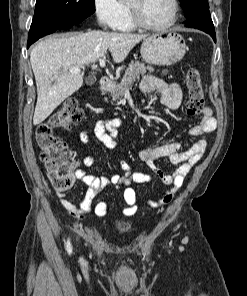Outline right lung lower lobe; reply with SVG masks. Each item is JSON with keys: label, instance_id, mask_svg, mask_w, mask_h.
<instances>
[{"label": "right lung lower lobe", "instance_id": "1", "mask_svg": "<svg viewBox=\"0 0 247 296\" xmlns=\"http://www.w3.org/2000/svg\"><path fill=\"white\" fill-rule=\"evenodd\" d=\"M78 23H71V22H58L57 20L54 19H49L44 23H39V24H32L29 35H28V42H27V48L34 43L36 40L39 38L53 33L56 30H61V29H67L73 25L79 24Z\"/></svg>", "mask_w": 247, "mask_h": 296}]
</instances>
